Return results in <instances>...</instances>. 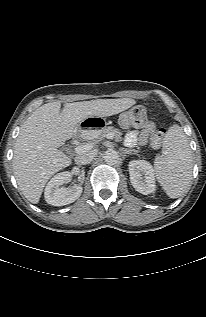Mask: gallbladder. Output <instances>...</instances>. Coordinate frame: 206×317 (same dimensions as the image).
<instances>
[{"mask_svg": "<svg viewBox=\"0 0 206 317\" xmlns=\"http://www.w3.org/2000/svg\"><path fill=\"white\" fill-rule=\"evenodd\" d=\"M63 149L67 151V148H66V147H63Z\"/></svg>", "mask_w": 206, "mask_h": 317, "instance_id": "1", "label": "gallbladder"}]
</instances>
